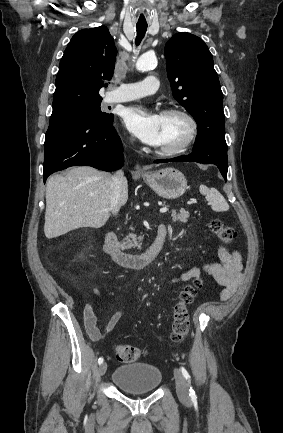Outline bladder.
<instances>
[{"instance_id": "1", "label": "bladder", "mask_w": 283, "mask_h": 433, "mask_svg": "<svg viewBox=\"0 0 283 433\" xmlns=\"http://www.w3.org/2000/svg\"><path fill=\"white\" fill-rule=\"evenodd\" d=\"M161 380L160 369L150 363L120 366L113 376V383L127 393L151 392L158 388Z\"/></svg>"}]
</instances>
